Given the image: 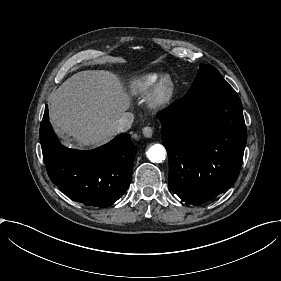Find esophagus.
Returning <instances> with one entry per match:
<instances>
[{
  "label": "esophagus",
  "instance_id": "1",
  "mask_svg": "<svg viewBox=\"0 0 281 281\" xmlns=\"http://www.w3.org/2000/svg\"><path fill=\"white\" fill-rule=\"evenodd\" d=\"M142 133L145 137L147 138H150L152 137L153 135V128L150 127V126H145L143 129H142Z\"/></svg>",
  "mask_w": 281,
  "mask_h": 281
}]
</instances>
